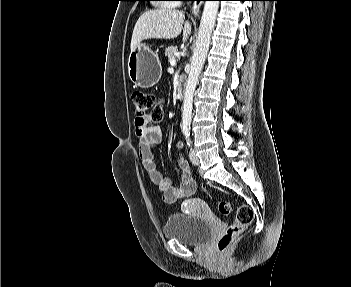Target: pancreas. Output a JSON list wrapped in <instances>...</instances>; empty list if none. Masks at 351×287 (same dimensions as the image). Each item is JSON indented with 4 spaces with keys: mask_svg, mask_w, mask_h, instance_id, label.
Returning <instances> with one entry per match:
<instances>
[{
    "mask_svg": "<svg viewBox=\"0 0 351 287\" xmlns=\"http://www.w3.org/2000/svg\"><path fill=\"white\" fill-rule=\"evenodd\" d=\"M177 52V47L176 46H171L166 48L165 50V56L168 58L170 61L171 59L175 58V54Z\"/></svg>",
    "mask_w": 351,
    "mask_h": 287,
    "instance_id": "cf45deb5",
    "label": "pancreas"
}]
</instances>
